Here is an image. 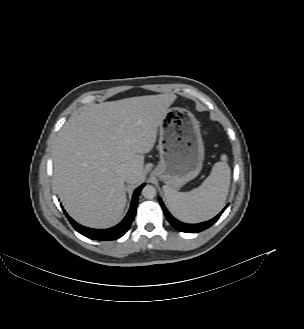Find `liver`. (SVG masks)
<instances>
[{
    "label": "liver",
    "mask_w": 304,
    "mask_h": 329,
    "mask_svg": "<svg viewBox=\"0 0 304 329\" xmlns=\"http://www.w3.org/2000/svg\"><path fill=\"white\" fill-rule=\"evenodd\" d=\"M176 98L158 94L85 106L62 127L53 146V184L72 218L100 229L119 221L124 183L144 181V154ZM122 170L130 172L127 180Z\"/></svg>",
    "instance_id": "6515ba94"
}]
</instances>
